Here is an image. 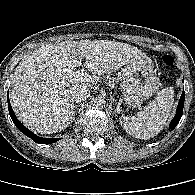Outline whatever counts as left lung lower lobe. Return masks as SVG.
I'll return each instance as SVG.
<instances>
[{"label":"left lung lower lobe","instance_id":"1","mask_svg":"<svg viewBox=\"0 0 195 195\" xmlns=\"http://www.w3.org/2000/svg\"><path fill=\"white\" fill-rule=\"evenodd\" d=\"M184 100H185V92L183 90L182 92V95H181V98L179 100V105L177 107V112H176V115L175 117L172 119L169 127L171 130H173L176 125L179 123L181 117H182V114H183V106H184Z\"/></svg>","mask_w":195,"mask_h":195}]
</instances>
